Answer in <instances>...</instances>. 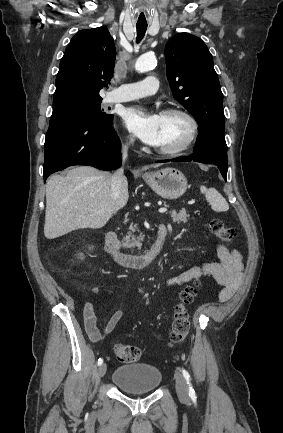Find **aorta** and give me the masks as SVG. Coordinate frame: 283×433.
Returning a JSON list of instances; mask_svg holds the SVG:
<instances>
[{
    "label": "aorta",
    "instance_id": "obj_1",
    "mask_svg": "<svg viewBox=\"0 0 283 433\" xmlns=\"http://www.w3.org/2000/svg\"><path fill=\"white\" fill-rule=\"evenodd\" d=\"M156 64L157 60L155 55L153 53H145L137 59L135 69L140 73H144L153 69Z\"/></svg>",
    "mask_w": 283,
    "mask_h": 433
}]
</instances>
